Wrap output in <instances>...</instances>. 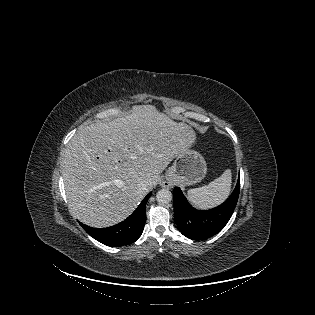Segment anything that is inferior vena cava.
Instances as JSON below:
<instances>
[{"label":"inferior vena cava","mask_w":315,"mask_h":315,"mask_svg":"<svg viewBox=\"0 0 315 315\" xmlns=\"http://www.w3.org/2000/svg\"><path fill=\"white\" fill-rule=\"evenodd\" d=\"M138 191L140 193L148 192V183L146 181H142L138 186Z\"/></svg>","instance_id":"1"}]
</instances>
